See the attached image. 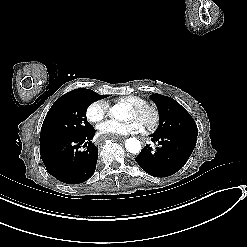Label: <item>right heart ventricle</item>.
<instances>
[{
    "mask_svg": "<svg viewBox=\"0 0 247 247\" xmlns=\"http://www.w3.org/2000/svg\"><path fill=\"white\" fill-rule=\"evenodd\" d=\"M118 102L128 107V106H139L140 104L145 103L146 101L143 98L137 96H124L119 98Z\"/></svg>",
    "mask_w": 247,
    "mask_h": 247,
    "instance_id": "1",
    "label": "right heart ventricle"
}]
</instances>
